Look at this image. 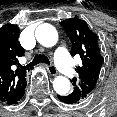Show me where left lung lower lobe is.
Returning <instances> with one entry per match:
<instances>
[{"instance_id": "1", "label": "left lung lower lobe", "mask_w": 117, "mask_h": 117, "mask_svg": "<svg viewBox=\"0 0 117 117\" xmlns=\"http://www.w3.org/2000/svg\"><path fill=\"white\" fill-rule=\"evenodd\" d=\"M58 99L66 104H76L82 101L81 97L77 93H71L68 95H57Z\"/></svg>"}]
</instances>
